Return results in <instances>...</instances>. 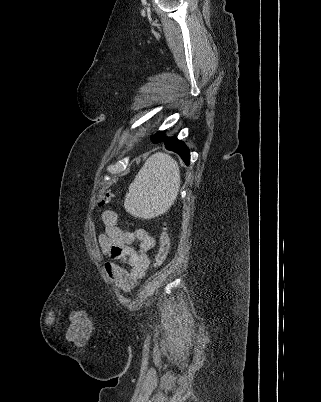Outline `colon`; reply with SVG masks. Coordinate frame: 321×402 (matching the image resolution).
<instances>
[{"label":"colon","mask_w":321,"mask_h":402,"mask_svg":"<svg viewBox=\"0 0 321 402\" xmlns=\"http://www.w3.org/2000/svg\"><path fill=\"white\" fill-rule=\"evenodd\" d=\"M112 195L110 192L104 194L100 204L107 205L111 202ZM170 252V238L168 233L165 230H162L159 236V245L157 252L153 259V265L155 267L161 266L168 258Z\"/></svg>","instance_id":"1"}]
</instances>
